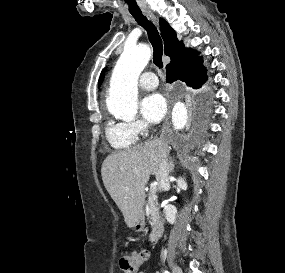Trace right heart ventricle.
Returning a JSON list of instances; mask_svg holds the SVG:
<instances>
[{"label": "right heart ventricle", "instance_id": "1", "mask_svg": "<svg viewBox=\"0 0 285 273\" xmlns=\"http://www.w3.org/2000/svg\"><path fill=\"white\" fill-rule=\"evenodd\" d=\"M105 136L109 144L116 150L129 149L136 142V136L123 122L108 121L105 125Z\"/></svg>", "mask_w": 285, "mask_h": 273}]
</instances>
